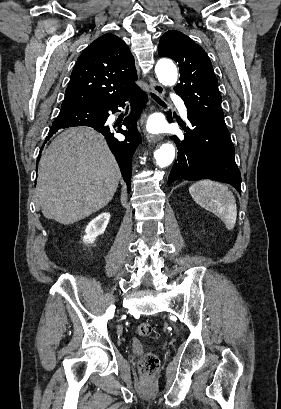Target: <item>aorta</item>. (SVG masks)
I'll list each match as a JSON object with an SVG mask.
<instances>
[{"label":"aorta","instance_id":"762f6f07","mask_svg":"<svg viewBox=\"0 0 281 409\" xmlns=\"http://www.w3.org/2000/svg\"><path fill=\"white\" fill-rule=\"evenodd\" d=\"M155 72L160 83L165 86H173L177 82L178 73L174 63L168 59H161L157 62ZM175 157V147L173 144L165 143L154 153V158L159 167L164 168L170 165Z\"/></svg>","mask_w":281,"mask_h":409}]
</instances>
